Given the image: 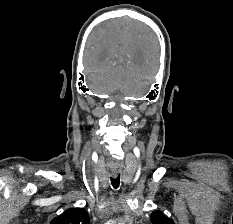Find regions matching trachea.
<instances>
[{
    "label": "trachea",
    "instance_id": "3493384b",
    "mask_svg": "<svg viewBox=\"0 0 233 224\" xmlns=\"http://www.w3.org/2000/svg\"><path fill=\"white\" fill-rule=\"evenodd\" d=\"M111 184H112L114 189H117L120 185V175H118L115 178H111Z\"/></svg>",
    "mask_w": 233,
    "mask_h": 224
}]
</instances>
